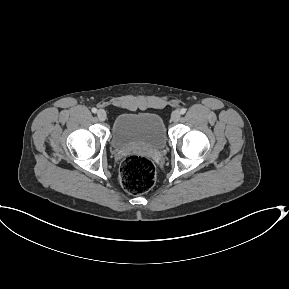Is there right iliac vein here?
I'll list each match as a JSON object with an SVG mask.
<instances>
[{"instance_id":"right-iliac-vein-1","label":"right iliac vein","mask_w":289,"mask_h":289,"mask_svg":"<svg viewBox=\"0 0 289 289\" xmlns=\"http://www.w3.org/2000/svg\"><path fill=\"white\" fill-rule=\"evenodd\" d=\"M97 117L100 121H105L107 118L106 112L104 110H98Z\"/></svg>"}]
</instances>
